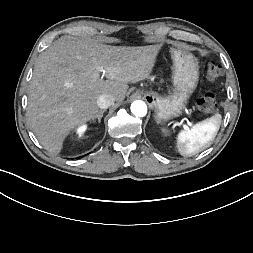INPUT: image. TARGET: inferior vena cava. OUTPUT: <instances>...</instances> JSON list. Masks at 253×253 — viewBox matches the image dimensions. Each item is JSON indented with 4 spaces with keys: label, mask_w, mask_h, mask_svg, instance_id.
<instances>
[{
    "label": "inferior vena cava",
    "mask_w": 253,
    "mask_h": 253,
    "mask_svg": "<svg viewBox=\"0 0 253 253\" xmlns=\"http://www.w3.org/2000/svg\"><path fill=\"white\" fill-rule=\"evenodd\" d=\"M115 101L112 95L103 94L97 98V106L101 109H106L110 107Z\"/></svg>",
    "instance_id": "inferior-vena-cava-1"
}]
</instances>
